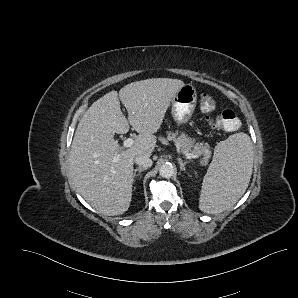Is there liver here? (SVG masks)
I'll use <instances>...</instances> for the list:
<instances>
[{"label":"liver","mask_w":298,"mask_h":298,"mask_svg":"<svg viewBox=\"0 0 298 298\" xmlns=\"http://www.w3.org/2000/svg\"><path fill=\"white\" fill-rule=\"evenodd\" d=\"M185 85L172 78L132 82L119 92L112 90L95 101L80 119L71 145L69 170L81 196L100 213H125L132 198L136 156L150 157L154 135L161 127L172 99ZM120 101L128 112L121 111ZM138 133L131 147L123 149L115 134ZM118 157L117 162L113 160Z\"/></svg>","instance_id":"liver-1"}]
</instances>
